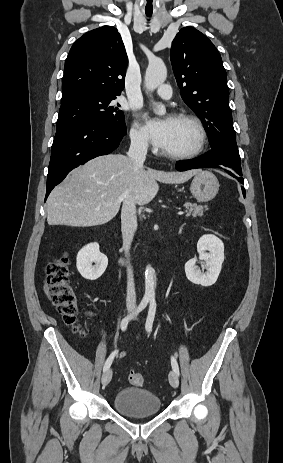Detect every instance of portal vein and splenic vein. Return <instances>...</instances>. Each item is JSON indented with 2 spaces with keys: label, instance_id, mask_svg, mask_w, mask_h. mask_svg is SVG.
Here are the masks:
<instances>
[{
  "label": "portal vein and splenic vein",
  "instance_id": "1",
  "mask_svg": "<svg viewBox=\"0 0 283 463\" xmlns=\"http://www.w3.org/2000/svg\"><path fill=\"white\" fill-rule=\"evenodd\" d=\"M177 214H178V215H182V214H183V212H178Z\"/></svg>",
  "mask_w": 283,
  "mask_h": 463
}]
</instances>
